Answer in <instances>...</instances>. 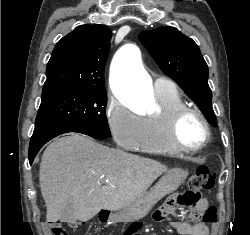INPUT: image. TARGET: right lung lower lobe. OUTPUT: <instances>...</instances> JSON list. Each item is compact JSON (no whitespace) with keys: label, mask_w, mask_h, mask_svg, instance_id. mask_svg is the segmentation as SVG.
Returning a JSON list of instances; mask_svg holds the SVG:
<instances>
[{"label":"right lung lower lobe","mask_w":250,"mask_h":235,"mask_svg":"<svg viewBox=\"0 0 250 235\" xmlns=\"http://www.w3.org/2000/svg\"><path fill=\"white\" fill-rule=\"evenodd\" d=\"M67 132L83 133L97 139L107 138V136L98 132L68 123H43L35 125L34 132L29 145L28 157L30 164H32L38 151L44 144H46L54 137Z\"/></svg>","instance_id":"obj_1"}]
</instances>
